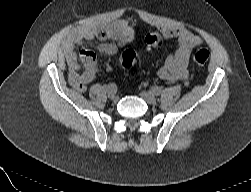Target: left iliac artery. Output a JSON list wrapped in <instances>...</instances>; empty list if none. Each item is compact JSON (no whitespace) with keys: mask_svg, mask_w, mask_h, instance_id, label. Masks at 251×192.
<instances>
[{"mask_svg":"<svg viewBox=\"0 0 251 192\" xmlns=\"http://www.w3.org/2000/svg\"><path fill=\"white\" fill-rule=\"evenodd\" d=\"M151 91L152 93H154L156 96L161 94V88L158 86H152L151 87Z\"/></svg>","mask_w":251,"mask_h":192,"instance_id":"1","label":"left iliac artery"}]
</instances>
